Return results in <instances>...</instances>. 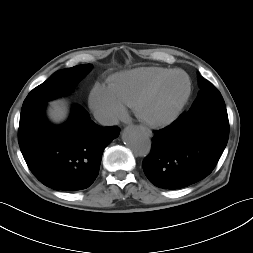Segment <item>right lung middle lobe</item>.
<instances>
[{"label": "right lung middle lobe", "instance_id": "right-lung-middle-lobe-1", "mask_svg": "<svg viewBox=\"0 0 253 253\" xmlns=\"http://www.w3.org/2000/svg\"><path fill=\"white\" fill-rule=\"evenodd\" d=\"M90 69V64H84L55 72L44 83L34 88L28 94L23 103L22 111L37 105L45 104L51 99L66 95Z\"/></svg>", "mask_w": 253, "mask_h": 253}]
</instances>
